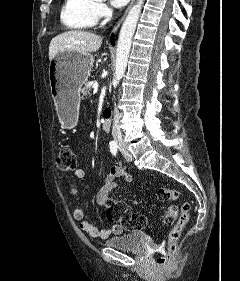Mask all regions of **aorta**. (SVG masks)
Masks as SVG:
<instances>
[{
  "mask_svg": "<svg viewBox=\"0 0 240 281\" xmlns=\"http://www.w3.org/2000/svg\"><path fill=\"white\" fill-rule=\"evenodd\" d=\"M143 3L144 0H137L136 4L132 6L122 24L117 43L116 63L113 79L114 83H118L125 73L131 49L132 37L141 14Z\"/></svg>",
  "mask_w": 240,
  "mask_h": 281,
  "instance_id": "1",
  "label": "aorta"
}]
</instances>
